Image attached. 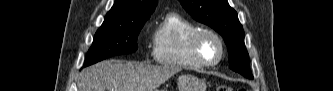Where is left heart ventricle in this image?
<instances>
[{"instance_id": "obj_1", "label": "left heart ventricle", "mask_w": 333, "mask_h": 91, "mask_svg": "<svg viewBox=\"0 0 333 91\" xmlns=\"http://www.w3.org/2000/svg\"><path fill=\"white\" fill-rule=\"evenodd\" d=\"M201 54L208 62H213L219 55V44L216 39L210 35H206L201 40Z\"/></svg>"}]
</instances>
